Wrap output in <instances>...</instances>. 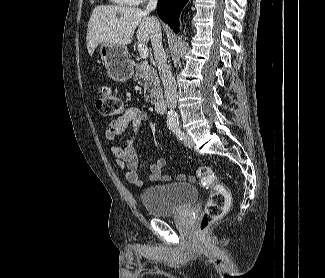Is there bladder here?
Masks as SVG:
<instances>
[{"mask_svg":"<svg viewBox=\"0 0 325 278\" xmlns=\"http://www.w3.org/2000/svg\"><path fill=\"white\" fill-rule=\"evenodd\" d=\"M197 198L196 187L186 182L149 186L140 195L142 205L152 217L181 213L192 206Z\"/></svg>","mask_w":325,"mask_h":278,"instance_id":"bladder-1","label":"bladder"}]
</instances>
